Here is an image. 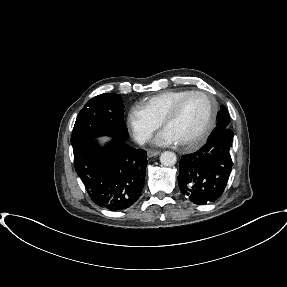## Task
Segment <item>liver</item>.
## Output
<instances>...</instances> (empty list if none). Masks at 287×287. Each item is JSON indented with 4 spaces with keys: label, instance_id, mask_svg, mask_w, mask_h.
Wrapping results in <instances>:
<instances>
[{
    "label": "liver",
    "instance_id": "obj_1",
    "mask_svg": "<svg viewBox=\"0 0 287 287\" xmlns=\"http://www.w3.org/2000/svg\"><path fill=\"white\" fill-rule=\"evenodd\" d=\"M101 139L105 141V140L108 139V138H101Z\"/></svg>",
    "mask_w": 287,
    "mask_h": 287
}]
</instances>
